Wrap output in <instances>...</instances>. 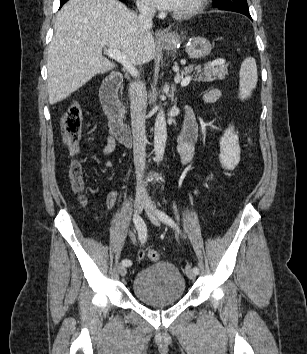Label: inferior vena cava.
<instances>
[{
  "mask_svg": "<svg viewBox=\"0 0 307 354\" xmlns=\"http://www.w3.org/2000/svg\"><path fill=\"white\" fill-rule=\"evenodd\" d=\"M139 10L138 23L142 32L149 31L152 27V19L155 14L154 7L140 3L137 5ZM137 65H142L138 62ZM146 88L142 81H134L129 85V98L131 109V126L133 134V153L134 163L136 168L138 194L145 193V186L142 182L143 173L146 161V130H145V115H146Z\"/></svg>",
  "mask_w": 307,
  "mask_h": 354,
  "instance_id": "602c4592",
  "label": "inferior vena cava"
}]
</instances>
